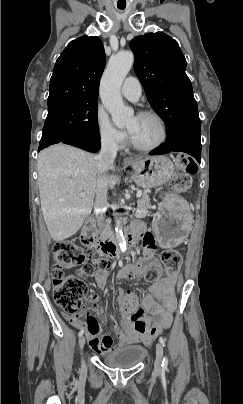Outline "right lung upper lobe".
<instances>
[{"label":"right lung upper lobe","mask_w":243,"mask_h":404,"mask_svg":"<svg viewBox=\"0 0 243 404\" xmlns=\"http://www.w3.org/2000/svg\"><path fill=\"white\" fill-rule=\"evenodd\" d=\"M106 57L98 37L73 40L56 61L48 105L70 100H98L99 80Z\"/></svg>","instance_id":"cb5924a9"}]
</instances>
